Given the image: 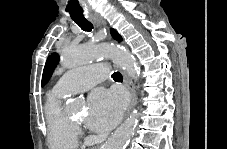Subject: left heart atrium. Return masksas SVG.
I'll return each mask as SVG.
<instances>
[{
    "instance_id": "left-heart-atrium-1",
    "label": "left heart atrium",
    "mask_w": 227,
    "mask_h": 149,
    "mask_svg": "<svg viewBox=\"0 0 227 149\" xmlns=\"http://www.w3.org/2000/svg\"><path fill=\"white\" fill-rule=\"evenodd\" d=\"M124 105V97L119 91H94L90 96L89 127L100 133L110 130L119 121Z\"/></svg>"
}]
</instances>
